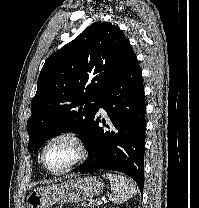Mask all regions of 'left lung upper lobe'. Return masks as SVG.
I'll list each match as a JSON object with an SVG mask.
<instances>
[{
  "mask_svg": "<svg viewBox=\"0 0 199 208\" xmlns=\"http://www.w3.org/2000/svg\"><path fill=\"white\" fill-rule=\"evenodd\" d=\"M135 53L122 31L95 22L45 62L31 101L28 151L46 140L74 131L84 143L102 91L124 70Z\"/></svg>",
  "mask_w": 199,
  "mask_h": 208,
  "instance_id": "5c2ea615",
  "label": "left lung upper lobe"
}]
</instances>
